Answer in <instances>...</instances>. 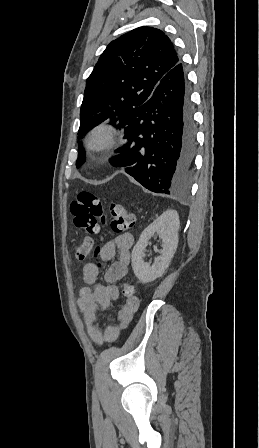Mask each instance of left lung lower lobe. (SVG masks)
<instances>
[{"label": "left lung lower lobe", "mask_w": 259, "mask_h": 448, "mask_svg": "<svg viewBox=\"0 0 259 448\" xmlns=\"http://www.w3.org/2000/svg\"><path fill=\"white\" fill-rule=\"evenodd\" d=\"M127 144L110 163L155 193L188 186L195 153V122L182 63L169 70L151 97L126 119Z\"/></svg>", "instance_id": "0a47b994"}]
</instances>
